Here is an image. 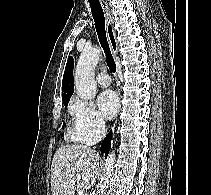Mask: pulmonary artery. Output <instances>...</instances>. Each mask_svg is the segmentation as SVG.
<instances>
[{"mask_svg":"<svg viewBox=\"0 0 211 195\" xmlns=\"http://www.w3.org/2000/svg\"><path fill=\"white\" fill-rule=\"evenodd\" d=\"M97 82L102 87H108L111 84V78L106 73H100L97 75Z\"/></svg>","mask_w":211,"mask_h":195,"instance_id":"pulmonary-artery-1","label":"pulmonary artery"}]
</instances>
